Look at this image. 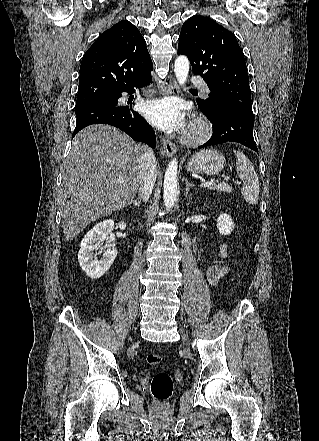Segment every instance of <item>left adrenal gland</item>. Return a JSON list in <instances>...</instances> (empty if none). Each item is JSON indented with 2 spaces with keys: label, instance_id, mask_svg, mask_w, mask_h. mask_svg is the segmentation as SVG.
Segmentation results:
<instances>
[{
  "label": "left adrenal gland",
  "instance_id": "left-adrenal-gland-1",
  "mask_svg": "<svg viewBox=\"0 0 319 441\" xmlns=\"http://www.w3.org/2000/svg\"><path fill=\"white\" fill-rule=\"evenodd\" d=\"M185 183H186V194H185V196L187 198V196L189 194L190 188L194 187L195 185L193 183L190 184L187 179H185Z\"/></svg>",
  "mask_w": 319,
  "mask_h": 441
}]
</instances>
